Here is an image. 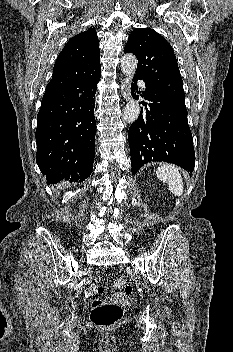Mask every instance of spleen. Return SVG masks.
<instances>
[{
	"label": "spleen",
	"instance_id": "spleen-1",
	"mask_svg": "<svg viewBox=\"0 0 233 352\" xmlns=\"http://www.w3.org/2000/svg\"><path fill=\"white\" fill-rule=\"evenodd\" d=\"M157 177L168 184L169 190L175 196H181L183 193L184 183L179 169L171 164H164L157 168Z\"/></svg>",
	"mask_w": 233,
	"mask_h": 352
}]
</instances>
